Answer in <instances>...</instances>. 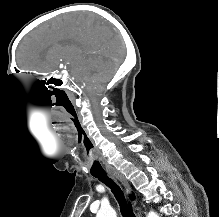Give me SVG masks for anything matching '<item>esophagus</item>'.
I'll return each mask as SVG.
<instances>
[{
  "instance_id": "obj_1",
  "label": "esophagus",
  "mask_w": 219,
  "mask_h": 217,
  "mask_svg": "<svg viewBox=\"0 0 219 217\" xmlns=\"http://www.w3.org/2000/svg\"><path fill=\"white\" fill-rule=\"evenodd\" d=\"M107 173L116 182L120 183L128 194H131L132 188L130 186V183L121 172H119L115 168H108ZM136 204L137 201L135 200L134 206H136ZM136 211H137V217H141L140 209L138 207H136Z\"/></svg>"
}]
</instances>
